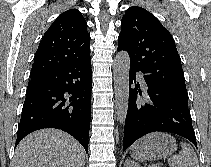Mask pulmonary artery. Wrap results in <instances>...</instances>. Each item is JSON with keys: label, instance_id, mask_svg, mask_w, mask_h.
<instances>
[{"label": "pulmonary artery", "instance_id": "obj_1", "mask_svg": "<svg viewBox=\"0 0 211 167\" xmlns=\"http://www.w3.org/2000/svg\"><path fill=\"white\" fill-rule=\"evenodd\" d=\"M140 82L142 83V85L145 86V81H144L143 77H140Z\"/></svg>", "mask_w": 211, "mask_h": 167}]
</instances>
